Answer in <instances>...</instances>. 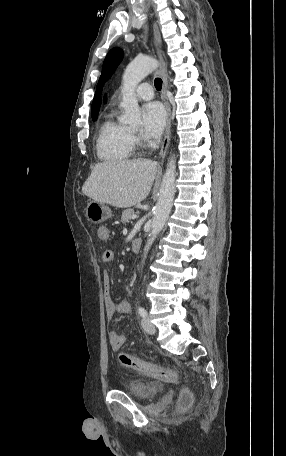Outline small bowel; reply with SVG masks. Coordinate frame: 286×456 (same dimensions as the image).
I'll use <instances>...</instances> for the list:
<instances>
[{
    "label": "small bowel",
    "instance_id": "1",
    "mask_svg": "<svg viewBox=\"0 0 286 456\" xmlns=\"http://www.w3.org/2000/svg\"><path fill=\"white\" fill-rule=\"evenodd\" d=\"M98 237L101 240H108L110 237V230L106 226H101L97 230ZM114 252L112 250H106L102 255V263L109 264L114 260ZM103 300L106 316L108 319L113 318L116 313L128 314L131 311V304L127 300H122L119 303H115L111 296V279L107 272L103 275ZM109 342L114 350H119L125 342V336L119 334L116 331L109 332Z\"/></svg>",
    "mask_w": 286,
    "mask_h": 456
}]
</instances>
